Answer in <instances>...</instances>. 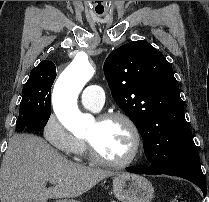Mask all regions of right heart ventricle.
I'll list each match as a JSON object with an SVG mask.
<instances>
[{
	"mask_svg": "<svg viewBox=\"0 0 209 202\" xmlns=\"http://www.w3.org/2000/svg\"><path fill=\"white\" fill-rule=\"evenodd\" d=\"M85 151H86V147H85V144L83 143L80 149L76 152V155L83 156L85 154Z\"/></svg>",
	"mask_w": 209,
	"mask_h": 202,
	"instance_id": "right-heart-ventricle-1",
	"label": "right heart ventricle"
}]
</instances>
